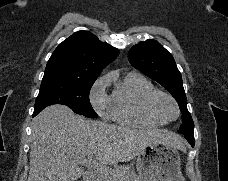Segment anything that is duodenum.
<instances>
[{
  "mask_svg": "<svg viewBox=\"0 0 228 181\" xmlns=\"http://www.w3.org/2000/svg\"><path fill=\"white\" fill-rule=\"evenodd\" d=\"M81 178L86 179V181H95V178H92L91 174H82Z\"/></svg>",
  "mask_w": 228,
  "mask_h": 181,
  "instance_id": "410a0bca",
  "label": "duodenum"
}]
</instances>
